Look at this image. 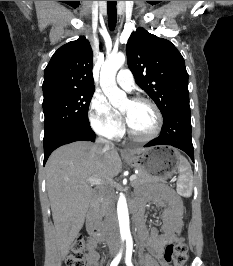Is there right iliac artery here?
Masks as SVG:
<instances>
[{"mask_svg": "<svg viewBox=\"0 0 233 266\" xmlns=\"http://www.w3.org/2000/svg\"><path fill=\"white\" fill-rule=\"evenodd\" d=\"M122 257V249L119 251V253L117 254V256L113 259V261L111 262L110 266H117L121 260Z\"/></svg>", "mask_w": 233, "mask_h": 266, "instance_id": "82829eb1", "label": "right iliac artery"}]
</instances>
